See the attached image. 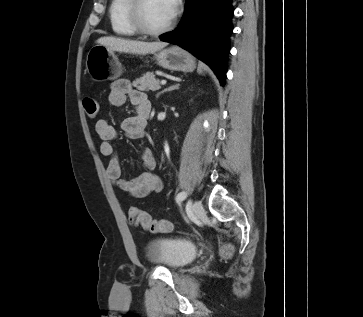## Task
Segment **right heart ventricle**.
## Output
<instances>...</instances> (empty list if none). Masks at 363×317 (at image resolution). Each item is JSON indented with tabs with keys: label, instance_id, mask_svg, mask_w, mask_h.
Here are the masks:
<instances>
[{
	"label": "right heart ventricle",
	"instance_id": "obj_1",
	"mask_svg": "<svg viewBox=\"0 0 363 317\" xmlns=\"http://www.w3.org/2000/svg\"><path fill=\"white\" fill-rule=\"evenodd\" d=\"M130 0H111L109 5V19L112 31L124 37H132L137 32L131 27L127 19V8Z\"/></svg>",
	"mask_w": 363,
	"mask_h": 317
}]
</instances>
